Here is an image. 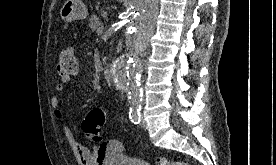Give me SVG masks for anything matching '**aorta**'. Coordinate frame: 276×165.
Returning <instances> with one entry per match:
<instances>
[{"label":"aorta","instance_id":"762f6f07","mask_svg":"<svg viewBox=\"0 0 276 165\" xmlns=\"http://www.w3.org/2000/svg\"><path fill=\"white\" fill-rule=\"evenodd\" d=\"M130 51L117 58L110 67V76L117 88L125 89L131 102H139L142 97L140 74L142 53L154 33L159 0H131Z\"/></svg>","mask_w":276,"mask_h":165}]
</instances>
